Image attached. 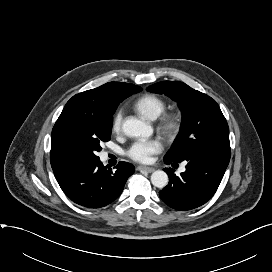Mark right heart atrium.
<instances>
[{
    "instance_id": "right-heart-atrium-1",
    "label": "right heart atrium",
    "mask_w": 272,
    "mask_h": 272,
    "mask_svg": "<svg viewBox=\"0 0 272 272\" xmlns=\"http://www.w3.org/2000/svg\"><path fill=\"white\" fill-rule=\"evenodd\" d=\"M122 121H123V113L122 111H118L112 121V131L113 133H119L121 130L122 126Z\"/></svg>"
}]
</instances>
